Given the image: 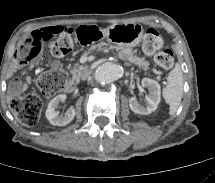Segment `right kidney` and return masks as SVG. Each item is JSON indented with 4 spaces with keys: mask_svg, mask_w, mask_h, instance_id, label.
Instances as JSON below:
<instances>
[{
    "mask_svg": "<svg viewBox=\"0 0 215 183\" xmlns=\"http://www.w3.org/2000/svg\"><path fill=\"white\" fill-rule=\"evenodd\" d=\"M66 95L60 94L55 96L48 104L46 110V118L52 125L65 126L69 124L75 117V109L69 108L64 115H58L57 107L62 101H65Z\"/></svg>",
    "mask_w": 215,
    "mask_h": 183,
    "instance_id": "right-kidney-1",
    "label": "right kidney"
}]
</instances>
